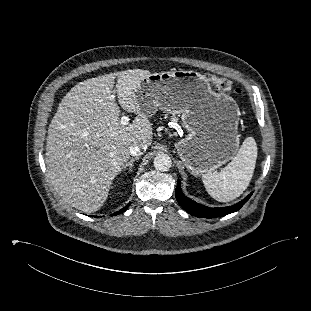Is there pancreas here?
Segmentation results:
<instances>
[{
	"label": "pancreas",
	"instance_id": "pancreas-1",
	"mask_svg": "<svg viewBox=\"0 0 311 311\" xmlns=\"http://www.w3.org/2000/svg\"><path fill=\"white\" fill-rule=\"evenodd\" d=\"M172 121L176 122V121H177V118H173Z\"/></svg>",
	"mask_w": 311,
	"mask_h": 311
}]
</instances>
